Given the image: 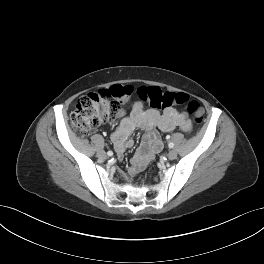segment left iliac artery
<instances>
[{"mask_svg":"<svg viewBox=\"0 0 264 264\" xmlns=\"http://www.w3.org/2000/svg\"><path fill=\"white\" fill-rule=\"evenodd\" d=\"M169 138H170V136L168 135V136H167V139H169ZM168 146H169V148H173V147H174V143L170 142V143L168 144Z\"/></svg>","mask_w":264,"mask_h":264,"instance_id":"left-iliac-artery-1","label":"left iliac artery"}]
</instances>
